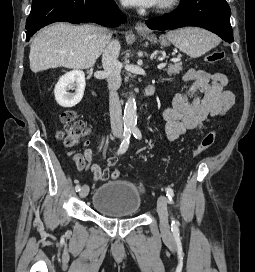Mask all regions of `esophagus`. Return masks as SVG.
<instances>
[{
  "label": "esophagus",
  "instance_id": "esophagus-1",
  "mask_svg": "<svg viewBox=\"0 0 255 272\" xmlns=\"http://www.w3.org/2000/svg\"><path fill=\"white\" fill-rule=\"evenodd\" d=\"M135 30L137 32H139V33H146V32H148V29L146 28V26L143 23H141V22L136 23Z\"/></svg>",
  "mask_w": 255,
  "mask_h": 272
}]
</instances>
